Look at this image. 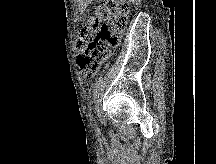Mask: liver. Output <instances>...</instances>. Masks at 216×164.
<instances>
[{
  "label": "liver",
  "instance_id": "6515ba94",
  "mask_svg": "<svg viewBox=\"0 0 216 164\" xmlns=\"http://www.w3.org/2000/svg\"><path fill=\"white\" fill-rule=\"evenodd\" d=\"M80 1H84L85 2L84 7H86L87 4L90 3L92 0H80Z\"/></svg>",
  "mask_w": 216,
  "mask_h": 164
}]
</instances>
